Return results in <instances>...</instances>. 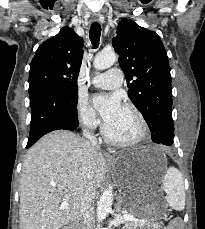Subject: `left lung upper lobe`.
Listing matches in <instances>:
<instances>
[{
    "label": "left lung upper lobe",
    "mask_w": 205,
    "mask_h": 229,
    "mask_svg": "<svg viewBox=\"0 0 205 229\" xmlns=\"http://www.w3.org/2000/svg\"><path fill=\"white\" fill-rule=\"evenodd\" d=\"M112 45L126 75L128 96L147 122L153 142L172 145L171 75L160 37L132 20L122 19Z\"/></svg>",
    "instance_id": "5c2ea615"
}]
</instances>
